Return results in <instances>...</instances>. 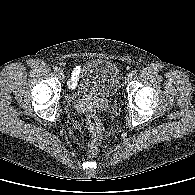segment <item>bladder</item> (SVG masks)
I'll list each match as a JSON object with an SVG mask.
<instances>
[{
  "label": "bladder",
  "instance_id": "31cf9c89",
  "mask_svg": "<svg viewBox=\"0 0 195 195\" xmlns=\"http://www.w3.org/2000/svg\"><path fill=\"white\" fill-rule=\"evenodd\" d=\"M119 85V69L113 62L91 59L82 67L75 92L86 98L109 99L116 96Z\"/></svg>",
  "mask_w": 195,
  "mask_h": 195
}]
</instances>
